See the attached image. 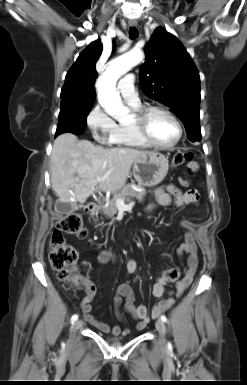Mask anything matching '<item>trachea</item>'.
<instances>
[{"mask_svg":"<svg viewBox=\"0 0 247 385\" xmlns=\"http://www.w3.org/2000/svg\"><path fill=\"white\" fill-rule=\"evenodd\" d=\"M139 36V31L135 27H130L129 29V37L131 39H136Z\"/></svg>","mask_w":247,"mask_h":385,"instance_id":"1","label":"trachea"}]
</instances>
